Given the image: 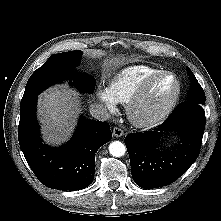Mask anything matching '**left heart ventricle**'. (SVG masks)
Here are the masks:
<instances>
[{
    "instance_id": "b2bd125f",
    "label": "left heart ventricle",
    "mask_w": 221,
    "mask_h": 221,
    "mask_svg": "<svg viewBox=\"0 0 221 221\" xmlns=\"http://www.w3.org/2000/svg\"><path fill=\"white\" fill-rule=\"evenodd\" d=\"M174 91L175 82L172 77L166 76L157 80L140 104L138 114L142 117L154 114L167 103Z\"/></svg>"
}]
</instances>
